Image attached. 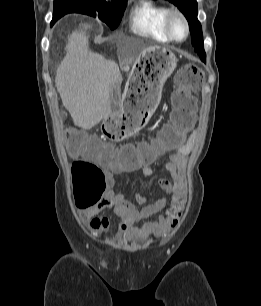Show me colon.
<instances>
[{
	"label": "colon",
	"instance_id": "colon-1",
	"mask_svg": "<svg viewBox=\"0 0 261 306\" xmlns=\"http://www.w3.org/2000/svg\"><path fill=\"white\" fill-rule=\"evenodd\" d=\"M203 78L202 70L194 64L182 66L175 75L176 88L173 92L174 111L172 122L164 125L159 135L148 143L138 147H125L106 158V151L82 141L73 134L68 136L67 148L73 154H84V158L75 160L71 166L73 185L76 192L77 207H87L85 201L98 197L105 192L106 181L103 170L94 162L101 160L110 166L119 164L134 165L139 162H150L160 153L177 147L184 134L192 125L196 102L193 93L198 89ZM129 128L119 120L105 123L103 135L106 139L119 141L127 135Z\"/></svg>",
	"mask_w": 261,
	"mask_h": 306
}]
</instances>
